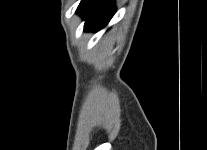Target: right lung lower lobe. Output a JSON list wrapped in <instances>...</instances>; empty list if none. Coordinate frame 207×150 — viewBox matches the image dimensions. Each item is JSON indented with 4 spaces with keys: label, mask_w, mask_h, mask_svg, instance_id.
Segmentation results:
<instances>
[{
    "label": "right lung lower lobe",
    "mask_w": 207,
    "mask_h": 150,
    "mask_svg": "<svg viewBox=\"0 0 207 150\" xmlns=\"http://www.w3.org/2000/svg\"><path fill=\"white\" fill-rule=\"evenodd\" d=\"M115 11L114 0H82L77 9L85 20L84 30L93 32L104 28Z\"/></svg>",
    "instance_id": "1"
}]
</instances>
